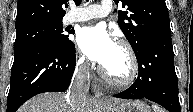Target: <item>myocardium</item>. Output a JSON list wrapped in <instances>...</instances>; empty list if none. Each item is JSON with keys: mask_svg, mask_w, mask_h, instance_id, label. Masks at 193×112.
Returning <instances> with one entry per match:
<instances>
[{"mask_svg": "<svg viewBox=\"0 0 193 112\" xmlns=\"http://www.w3.org/2000/svg\"><path fill=\"white\" fill-rule=\"evenodd\" d=\"M117 45L122 47L129 59V71L127 75L123 78H115L111 76L110 74L107 73V71L101 67L99 69L101 76L107 81L109 84L120 87V88H126L131 86L137 79L138 77V72H139V65H138V59L136 56V53L131 46V44L123 39L118 40Z\"/></svg>", "mask_w": 193, "mask_h": 112, "instance_id": "f54148a6", "label": "myocardium"}]
</instances>
